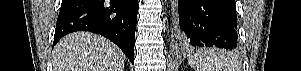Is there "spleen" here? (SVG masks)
<instances>
[{
	"label": "spleen",
	"instance_id": "1",
	"mask_svg": "<svg viewBox=\"0 0 301 71\" xmlns=\"http://www.w3.org/2000/svg\"><path fill=\"white\" fill-rule=\"evenodd\" d=\"M188 64L195 71H236L238 66L231 56L214 51L196 52L189 56Z\"/></svg>",
	"mask_w": 301,
	"mask_h": 71
}]
</instances>
